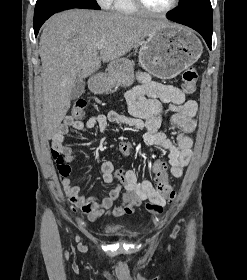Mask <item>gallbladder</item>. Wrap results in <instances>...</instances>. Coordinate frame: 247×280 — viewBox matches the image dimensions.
I'll use <instances>...</instances> for the list:
<instances>
[{
	"label": "gallbladder",
	"mask_w": 247,
	"mask_h": 280,
	"mask_svg": "<svg viewBox=\"0 0 247 280\" xmlns=\"http://www.w3.org/2000/svg\"><path fill=\"white\" fill-rule=\"evenodd\" d=\"M84 88H85V82L83 81V79L78 78L75 81V84L72 88L71 99L72 100L78 99L83 94Z\"/></svg>",
	"instance_id": "1"
}]
</instances>
